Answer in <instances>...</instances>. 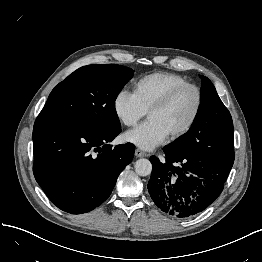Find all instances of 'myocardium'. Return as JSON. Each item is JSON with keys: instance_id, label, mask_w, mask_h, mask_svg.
Masks as SVG:
<instances>
[{"instance_id": "obj_1", "label": "myocardium", "mask_w": 262, "mask_h": 262, "mask_svg": "<svg viewBox=\"0 0 262 262\" xmlns=\"http://www.w3.org/2000/svg\"><path fill=\"white\" fill-rule=\"evenodd\" d=\"M191 90L195 94V108L194 111L189 119V121L186 123L185 126H183L181 129L177 130L176 132L170 134L168 136L169 140L174 141L177 140L186 134H188L194 125L197 122V119L199 117V114L201 112L202 104H203V95L199 87H197L194 84H183L180 86H177L173 89H171L168 93H166L160 100H158L156 103H154L149 110L147 111V115H149L153 111H158L161 109H164L166 106H168L180 93Z\"/></svg>"}]
</instances>
